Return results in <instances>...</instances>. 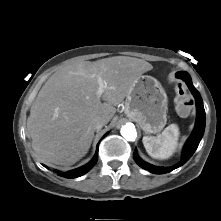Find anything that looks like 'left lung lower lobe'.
I'll return each mask as SVG.
<instances>
[{"label":"left lung lower lobe","instance_id":"1","mask_svg":"<svg viewBox=\"0 0 221 221\" xmlns=\"http://www.w3.org/2000/svg\"><path fill=\"white\" fill-rule=\"evenodd\" d=\"M176 77L184 80L185 83L187 84V86L189 87L190 91L194 95L195 102H196L197 118H196L194 130H193L191 136L188 138V140L183 148L182 159L178 164L171 166V167L153 166L151 164L144 162L138 156L137 150L135 149L133 157H134V160L136 161V163L140 167H142L143 169L148 170L149 172L155 173V174L168 173V172H171L172 170L182 166L183 164H185L190 159V157L193 155L195 150L197 149V147L200 143V140L204 134L206 118H205V110H204L202 98H201L198 90L193 86L191 78L187 72H184V71L177 72Z\"/></svg>","mask_w":221,"mask_h":221}]
</instances>
